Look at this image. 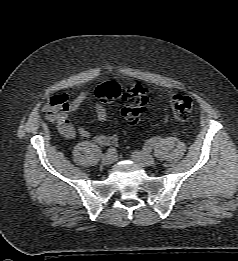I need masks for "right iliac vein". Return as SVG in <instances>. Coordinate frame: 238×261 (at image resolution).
Masks as SVG:
<instances>
[{"mask_svg":"<svg viewBox=\"0 0 238 261\" xmlns=\"http://www.w3.org/2000/svg\"><path fill=\"white\" fill-rule=\"evenodd\" d=\"M114 160V155L111 154V153H105L103 156H102V164L103 165H109L110 163H112Z\"/></svg>","mask_w":238,"mask_h":261,"instance_id":"obj_1","label":"right iliac vein"}]
</instances>
